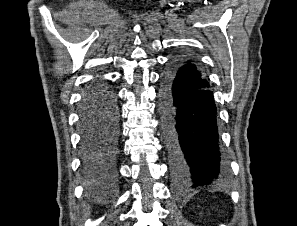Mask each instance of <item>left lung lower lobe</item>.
Segmentation results:
<instances>
[{
	"label": "left lung lower lobe",
	"instance_id": "0a47b994",
	"mask_svg": "<svg viewBox=\"0 0 297 226\" xmlns=\"http://www.w3.org/2000/svg\"><path fill=\"white\" fill-rule=\"evenodd\" d=\"M172 59L162 76L160 116L172 176L183 186L218 183L226 175L220 152L216 106L207 87H192Z\"/></svg>",
	"mask_w": 297,
	"mask_h": 226
}]
</instances>
